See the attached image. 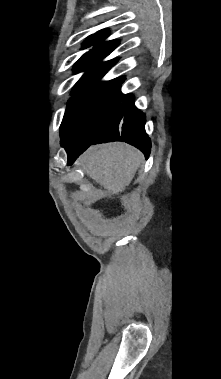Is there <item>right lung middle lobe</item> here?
<instances>
[{"mask_svg": "<svg viewBox=\"0 0 221 379\" xmlns=\"http://www.w3.org/2000/svg\"><path fill=\"white\" fill-rule=\"evenodd\" d=\"M119 82H95L75 88L61 127V140L79 143L93 140L114 115L122 94Z\"/></svg>", "mask_w": 221, "mask_h": 379, "instance_id": "1", "label": "right lung middle lobe"}]
</instances>
